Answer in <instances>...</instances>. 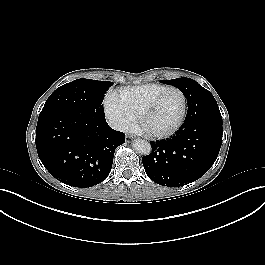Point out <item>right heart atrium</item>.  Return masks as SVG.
<instances>
[{"label":"right heart atrium","mask_w":265,"mask_h":265,"mask_svg":"<svg viewBox=\"0 0 265 265\" xmlns=\"http://www.w3.org/2000/svg\"><path fill=\"white\" fill-rule=\"evenodd\" d=\"M107 119L116 130L127 131L136 124V116L125 105L117 91H110L104 98Z\"/></svg>","instance_id":"d8ad5b80"}]
</instances>
